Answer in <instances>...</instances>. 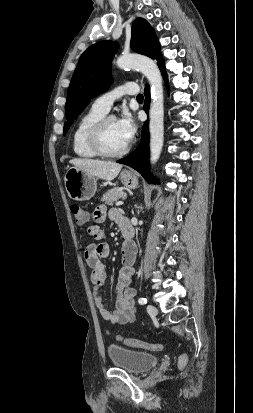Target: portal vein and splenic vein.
I'll use <instances>...</instances> for the list:
<instances>
[{
	"instance_id": "portal-vein-and-splenic-vein-1",
	"label": "portal vein and splenic vein",
	"mask_w": 253,
	"mask_h": 413,
	"mask_svg": "<svg viewBox=\"0 0 253 413\" xmlns=\"http://www.w3.org/2000/svg\"><path fill=\"white\" fill-rule=\"evenodd\" d=\"M121 205H123V202H122V201H118V202L116 203V206H121Z\"/></svg>"
}]
</instances>
